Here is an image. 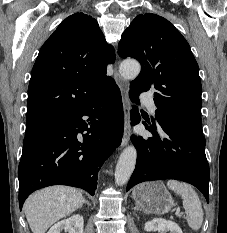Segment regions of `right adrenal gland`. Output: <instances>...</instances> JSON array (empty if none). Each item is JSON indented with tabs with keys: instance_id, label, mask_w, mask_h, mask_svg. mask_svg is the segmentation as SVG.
Here are the masks:
<instances>
[{
	"instance_id": "obj_1",
	"label": "right adrenal gland",
	"mask_w": 227,
	"mask_h": 233,
	"mask_svg": "<svg viewBox=\"0 0 227 233\" xmlns=\"http://www.w3.org/2000/svg\"><path fill=\"white\" fill-rule=\"evenodd\" d=\"M84 203L90 206V203L88 202V200H84Z\"/></svg>"
}]
</instances>
